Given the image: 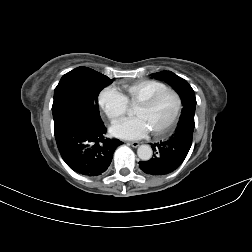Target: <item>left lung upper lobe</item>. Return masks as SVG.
<instances>
[{"mask_svg": "<svg viewBox=\"0 0 252 252\" xmlns=\"http://www.w3.org/2000/svg\"><path fill=\"white\" fill-rule=\"evenodd\" d=\"M153 76L156 79H159L168 83L179 94L182 100V104L184 106L182 109V114L180 116V119L183 116H191L192 118H194L195 111L191 110L189 114L187 113L189 111L187 109L188 106L196 105V98L194 96V90L191 88L188 82L184 80L183 78L177 76L171 71H162V72L154 73Z\"/></svg>", "mask_w": 252, "mask_h": 252, "instance_id": "left-lung-upper-lobe-1", "label": "left lung upper lobe"}]
</instances>
